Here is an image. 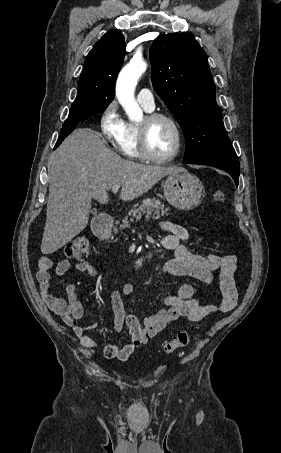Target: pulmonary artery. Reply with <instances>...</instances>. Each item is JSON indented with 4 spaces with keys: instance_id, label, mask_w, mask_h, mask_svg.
<instances>
[{
    "instance_id": "e3ab8cb5",
    "label": "pulmonary artery",
    "mask_w": 281,
    "mask_h": 453,
    "mask_svg": "<svg viewBox=\"0 0 281 453\" xmlns=\"http://www.w3.org/2000/svg\"><path fill=\"white\" fill-rule=\"evenodd\" d=\"M137 101L142 103L148 110H153L155 107L154 97L146 88L138 93Z\"/></svg>"
}]
</instances>
